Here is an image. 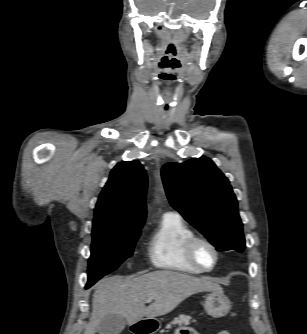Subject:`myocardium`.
Masks as SVG:
<instances>
[{"mask_svg":"<svg viewBox=\"0 0 307 334\" xmlns=\"http://www.w3.org/2000/svg\"><path fill=\"white\" fill-rule=\"evenodd\" d=\"M198 244H204L212 250V252L214 254V263L211 267H209V268L204 267L198 261V259L196 257V252H195L196 246ZM184 253H185V256H186L187 260L193 266H195L196 268H198L202 272H209V271L214 270L219 263V250H218V248L216 247V245L212 241H210L209 239H207L206 237H203V236H199V235H195V234L190 236L184 244Z\"/></svg>","mask_w":307,"mask_h":334,"instance_id":"f54148a6","label":"myocardium"}]
</instances>
